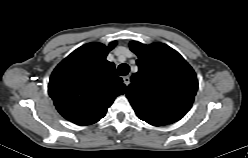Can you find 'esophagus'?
Instances as JSON below:
<instances>
[{
  "instance_id": "1",
  "label": "esophagus",
  "mask_w": 248,
  "mask_h": 158,
  "mask_svg": "<svg viewBox=\"0 0 248 158\" xmlns=\"http://www.w3.org/2000/svg\"><path fill=\"white\" fill-rule=\"evenodd\" d=\"M123 82H124V84H125L126 86H128L129 83H130V77H129V76L123 77Z\"/></svg>"
}]
</instances>
